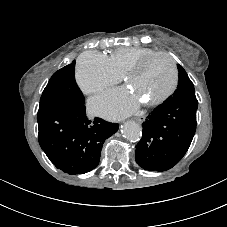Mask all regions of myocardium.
<instances>
[{"label":"myocardium","mask_w":227,"mask_h":227,"mask_svg":"<svg viewBox=\"0 0 227 227\" xmlns=\"http://www.w3.org/2000/svg\"><path fill=\"white\" fill-rule=\"evenodd\" d=\"M159 56L165 57L170 61L171 65H172V69H173V81H172V84L169 87V89L165 93H163L161 96H159L153 100L146 101L145 102L146 106L159 105V104L163 103L164 101H166L175 92V90L178 86V83H179V70H178L176 61L173 59V57L170 54L163 52V51H156V52H153V53L148 54V55L144 56L143 58H141L135 64L130 66L127 69V71L124 73V81L128 82L134 74L141 71L152 59L159 57Z\"/></svg>","instance_id":"obj_1"}]
</instances>
